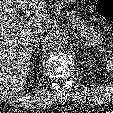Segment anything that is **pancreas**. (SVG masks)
<instances>
[{
  "instance_id": "obj_1",
  "label": "pancreas",
  "mask_w": 113,
  "mask_h": 113,
  "mask_svg": "<svg viewBox=\"0 0 113 113\" xmlns=\"http://www.w3.org/2000/svg\"><path fill=\"white\" fill-rule=\"evenodd\" d=\"M61 3H56L55 7L60 8ZM68 20L71 22L73 27L80 33V35L86 38V41L93 47H99L102 43V36L97 33L93 27H90L82 22L81 17L77 14V11H70L67 13Z\"/></svg>"
}]
</instances>
